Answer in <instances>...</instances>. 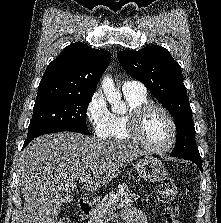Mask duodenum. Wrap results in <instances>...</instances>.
Wrapping results in <instances>:
<instances>
[{"instance_id": "duodenum-1", "label": "duodenum", "mask_w": 221, "mask_h": 223, "mask_svg": "<svg viewBox=\"0 0 221 223\" xmlns=\"http://www.w3.org/2000/svg\"><path fill=\"white\" fill-rule=\"evenodd\" d=\"M78 210L80 219H85L92 211V202L89 198H81L78 201Z\"/></svg>"}]
</instances>
